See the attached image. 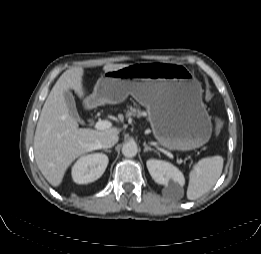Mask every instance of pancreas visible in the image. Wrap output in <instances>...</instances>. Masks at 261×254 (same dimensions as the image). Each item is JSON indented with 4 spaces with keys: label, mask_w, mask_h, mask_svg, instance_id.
Instances as JSON below:
<instances>
[{
    "label": "pancreas",
    "mask_w": 261,
    "mask_h": 254,
    "mask_svg": "<svg viewBox=\"0 0 261 254\" xmlns=\"http://www.w3.org/2000/svg\"><path fill=\"white\" fill-rule=\"evenodd\" d=\"M126 116L127 117H132V116H142L141 110L140 109H136L133 107H130V109L126 112Z\"/></svg>",
    "instance_id": "cf45deb5"
}]
</instances>
